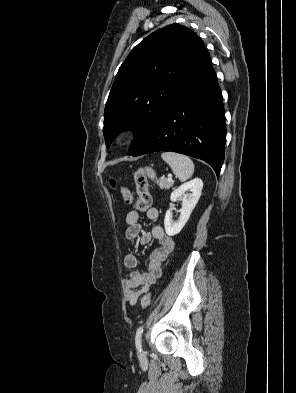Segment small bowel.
<instances>
[{"instance_id": "obj_1", "label": "small bowel", "mask_w": 296, "mask_h": 393, "mask_svg": "<svg viewBox=\"0 0 296 393\" xmlns=\"http://www.w3.org/2000/svg\"><path fill=\"white\" fill-rule=\"evenodd\" d=\"M149 220H156L159 212L156 208H149L146 212ZM127 229L125 238L134 241L139 238L142 245H148L152 240H157L160 246L155 248L147 261V271L135 270L138 265V257L135 253H127L123 262L125 267L130 269L128 277L123 282L125 297L128 303L136 304L140 294L148 292L162 274V263L169 253L174 249V240L167 235L161 226H154L150 231H144L140 224V215L137 211L131 210L126 216Z\"/></svg>"}]
</instances>
